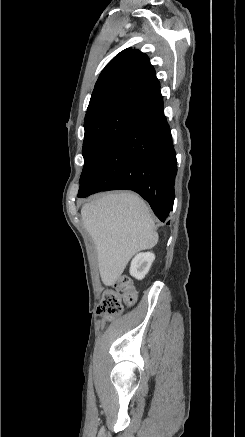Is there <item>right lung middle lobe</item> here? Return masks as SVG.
I'll list each match as a JSON object with an SVG mask.
<instances>
[{
    "instance_id": "right-lung-middle-lobe-1",
    "label": "right lung middle lobe",
    "mask_w": 245,
    "mask_h": 437,
    "mask_svg": "<svg viewBox=\"0 0 245 437\" xmlns=\"http://www.w3.org/2000/svg\"><path fill=\"white\" fill-rule=\"evenodd\" d=\"M141 111V109L126 103H107L86 113L82 147L85 163L80 177V185L94 170L123 128Z\"/></svg>"
}]
</instances>
